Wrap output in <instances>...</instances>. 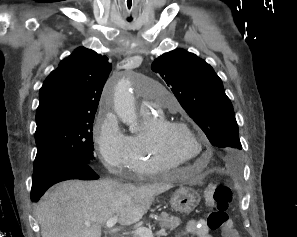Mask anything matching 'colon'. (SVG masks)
<instances>
[{
    "mask_svg": "<svg viewBox=\"0 0 297 237\" xmlns=\"http://www.w3.org/2000/svg\"><path fill=\"white\" fill-rule=\"evenodd\" d=\"M209 206L207 225L212 230H219L225 237H241L228 217V208L232 201L230 188L224 183H217L206 190Z\"/></svg>",
    "mask_w": 297,
    "mask_h": 237,
    "instance_id": "1",
    "label": "colon"
}]
</instances>
